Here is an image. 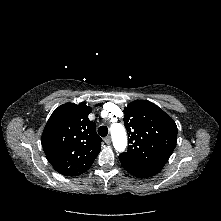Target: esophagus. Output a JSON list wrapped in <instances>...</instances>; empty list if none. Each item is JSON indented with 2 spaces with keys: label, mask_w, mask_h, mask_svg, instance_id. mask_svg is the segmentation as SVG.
<instances>
[{
  "label": "esophagus",
  "mask_w": 221,
  "mask_h": 221,
  "mask_svg": "<svg viewBox=\"0 0 221 221\" xmlns=\"http://www.w3.org/2000/svg\"><path fill=\"white\" fill-rule=\"evenodd\" d=\"M104 141H105V143L108 144V145L111 144V137H110V136L105 137V138H104Z\"/></svg>",
  "instance_id": "1"
}]
</instances>
